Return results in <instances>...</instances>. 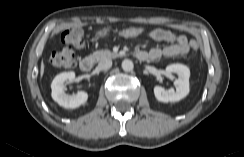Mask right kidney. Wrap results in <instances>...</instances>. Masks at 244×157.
I'll return each instance as SVG.
<instances>
[{
  "label": "right kidney",
  "instance_id": "obj_1",
  "mask_svg": "<svg viewBox=\"0 0 244 157\" xmlns=\"http://www.w3.org/2000/svg\"><path fill=\"white\" fill-rule=\"evenodd\" d=\"M75 72H63L58 74L51 83L52 98L60 106L69 109H76L87 103L88 94L80 91L75 95H68L65 93L64 82L75 81Z\"/></svg>",
  "mask_w": 244,
  "mask_h": 157
}]
</instances>
